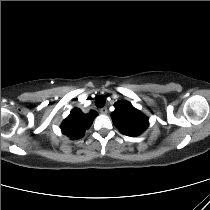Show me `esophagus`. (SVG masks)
I'll return each mask as SVG.
<instances>
[{
    "mask_svg": "<svg viewBox=\"0 0 210 210\" xmlns=\"http://www.w3.org/2000/svg\"><path fill=\"white\" fill-rule=\"evenodd\" d=\"M107 112H108L107 107H103L100 109L101 114H107Z\"/></svg>",
    "mask_w": 210,
    "mask_h": 210,
    "instance_id": "34e87169",
    "label": "esophagus"
}]
</instances>
